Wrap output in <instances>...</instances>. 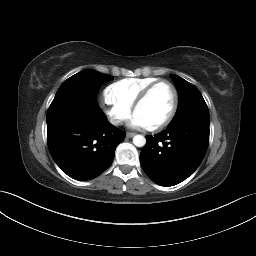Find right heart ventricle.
Listing matches in <instances>:
<instances>
[{"mask_svg":"<svg viewBox=\"0 0 256 256\" xmlns=\"http://www.w3.org/2000/svg\"><path fill=\"white\" fill-rule=\"evenodd\" d=\"M158 80L153 77L122 79L108 86L106 96L113 102L132 108L142 91Z\"/></svg>","mask_w":256,"mask_h":256,"instance_id":"1","label":"right heart ventricle"}]
</instances>
